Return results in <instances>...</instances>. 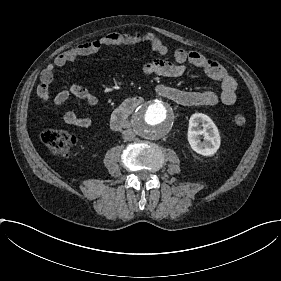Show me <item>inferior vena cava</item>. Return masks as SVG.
<instances>
[{"label": "inferior vena cava", "mask_w": 281, "mask_h": 281, "mask_svg": "<svg viewBox=\"0 0 281 281\" xmlns=\"http://www.w3.org/2000/svg\"><path fill=\"white\" fill-rule=\"evenodd\" d=\"M124 139L131 141L136 137V133L133 129H127L123 132Z\"/></svg>", "instance_id": "inferior-vena-cava-1"}]
</instances>
